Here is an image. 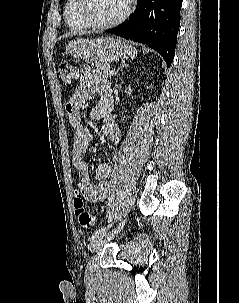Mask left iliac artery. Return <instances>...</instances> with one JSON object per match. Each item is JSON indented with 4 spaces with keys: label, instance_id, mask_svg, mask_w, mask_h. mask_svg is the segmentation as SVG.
<instances>
[{
    "label": "left iliac artery",
    "instance_id": "obj_1",
    "mask_svg": "<svg viewBox=\"0 0 239 303\" xmlns=\"http://www.w3.org/2000/svg\"><path fill=\"white\" fill-rule=\"evenodd\" d=\"M105 231H106V227L99 228L98 230H96V231L92 234V239H94L95 237H98V236L104 234Z\"/></svg>",
    "mask_w": 239,
    "mask_h": 303
}]
</instances>
